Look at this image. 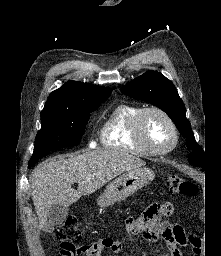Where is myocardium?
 <instances>
[{
  "instance_id": "myocardium-1",
  "label": "myocardium",
  "mask_w": 221,
  "mask_h": 256,
  "mask_svg": "<svg viewBox=\"0 0 221 256\" xmlns=\"http://www.w3.org/2000/svg\"><path fill=\"white\" fill-rule=\"evenodd\" d=\"M149 113H157L161 115L169 124L172 133H173V141L172 143L163 149H157L153 147L145 138L144 133H143V125H144V119ZM133 135L135 140L143 146L148 152H150L153 155H165L171 152L178 144L179 142V131L178 128L172 119V117L163 109L156 107V106H151L147 108H143L139 114L137 115L134 123V128H133Z\"/></svg>"
}]
</instances>
